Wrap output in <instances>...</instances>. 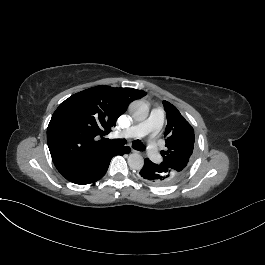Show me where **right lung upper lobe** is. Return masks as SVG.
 <instances>
[{
	"instance_id": "1",
	"label": "right lung upper lobe",
	"mask_w": 265,
	"mask_h": 265,
	"mask_svg": "<svg viewBox=\"0 0 265 265\" xmlns=\"http://www.w3.org/2000/svg\"><path fill=\"white\" fill-rule=\"evenodd\" d=\"M146 92L96 86L70 96L56 109L47 128V141L60 174L79 183L94 174L117 149L97 141L115 126L128 105Z\"/></svg>"
}]
</instances>
